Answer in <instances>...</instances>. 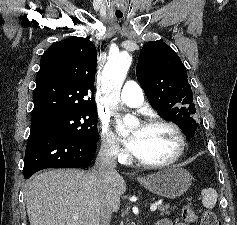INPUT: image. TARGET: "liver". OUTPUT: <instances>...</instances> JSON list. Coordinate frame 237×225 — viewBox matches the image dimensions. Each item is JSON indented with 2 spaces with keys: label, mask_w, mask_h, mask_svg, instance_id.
<instances>
[{
  "label": "liver",
  "mask_w": 237,
  "mask_h": 225,
  "mask_svg": "<svg viewBox=\"0 0 237 225\" xmlns=\"http://www.w3.org/2000/svg\"><path fill=\"white\" fill-rule=\"evenodd\" d=\"M125 191L126 183L118 173L101 191L92 170L41 172L26 188L30 225H100L101 205L108 202L116 210Z\"/></svg>",
  "instance_id": "6515ba94"
}]
</instances>
